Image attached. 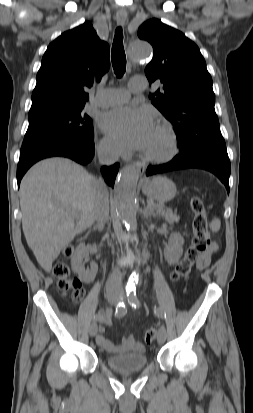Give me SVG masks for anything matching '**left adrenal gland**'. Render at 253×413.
<instances>
[{
    "instance_id": "a2214340",
    "label": "left adrenal gland",
    "mask_w": 253,
    "mask_h": 413,
    "mask_svg": "<svg viewBox=\"0 0 253 413\" xmlns=\"http://www.w3.org/2000/svg\"><path fill=\"white\" fill-rule=\"evenodd\" d=\"M143 214H144V217L146 218V219H148L149 217H156L157 215L155 214V212L152 210V209H150L148 206H145L144 207V212H143Z\"/></svg>"
}]
</instances>
